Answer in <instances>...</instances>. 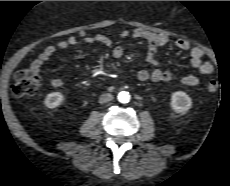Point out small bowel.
Masks as SVG:
<instances>
[{"mask_svg": "<svg viewBox=\"0 0 230 186\" xmlns=\"http://www.w3.org/2000/svg\"><path fill=\"white\" fill-rule=\"evenodd\" d=\"M132 36L136 39H142L147 43V61L152 64V70H140L137 78L141 82H168L172 78L169 71L160 69L159 62L156 59V53L159 48L165 46L169 42V38L165 35H157L155 33L134 28L131 30H123L121 37ZM82 42L100 43L105 46H111L112 40L104 34L88 35L86 32H80V37L70 36L64 40L57 41L54 45H49L34 59L30 64V71L39 74L42 66L53 57L58 50H65L70 47L79 45ZM175 47L180 51H187L189 53V62L191 67L203 75H209L214 71V65L205 60V50L201 47H195L186 39H179L175 42ZM114 58H121L123 49L120 46H115L112 50ZM182 84L189 87H194L199 84V79L194 75L184 76L181 80ZM50 83L55 88L64 86V81L59 77H52Z\"/></svg>", "mask_w": 230, "mask_h": 186, "instance_id": "1", "label": "small bowel"}]
</instances>
